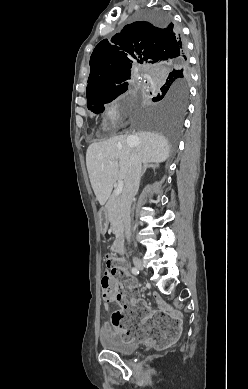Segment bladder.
I'll return each instance as SVG.
<instances>
[{
    "label": "bladder",
    "instance_id": "obj_1",
    "mask_svg": "<svg viewBox=\"0 0 248 389\" xmlns=\"http://www.w3.org/2000/svg\"><path fill=\"white\" fill-rule=\"evenodd\" d=\"M99 340L104 350L121 355L132 354L140 347L138 342L124 340L120 331L102 332Z\"/></svg>",
    "mask_w": 248,
    "mask_h": 389
}]
</instances>
